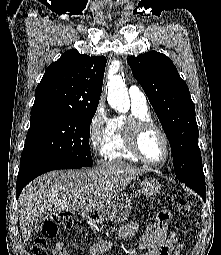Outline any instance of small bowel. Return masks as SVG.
<instances>
[{
    "mask_svg": "<svg viewBox=\"0 0 221 255\" xmlns=\"http://www.w3.org/2000/svg\"><path fill=\"white\" fill-rule=\"evenodd\" d=\"M138 230L137 223H128L121 227L116 238L123 239L133 237ZM114 240L102 239L89 248V255H104L108 252ZM140 246L146 247L145 255H180L181 243L174 232H167V229L161 233H150L148 229L140 238Z\"/></svg>",
    "mask_w": 221,
    "mask_h": 255,
    "instance_id": "1",
    "label": "small bowel"
}]
</instances>
